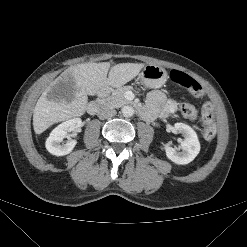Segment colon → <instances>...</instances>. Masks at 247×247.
<instances>
[{"mask_svg": "<svg viewBox=\"0 0 247 247\" xmlns=\"http://www.w3.org/2000/svg\"><path fill=\"white\" fill-rule=\"evenodd\" d=\"M170 78L176 84L184 87L194 98L203 97V89L201 85L192 77L179 70H172ZM182 116L187 120H195L198 116L197 109L188 103L182 104L180 107ZM202 133L205 139L212 140L216 135V126L214 123V108L212 104L206 103L201 110Z\"/></svg>", "mask_w": 247, "mask_h": 247, "instance_id": "obj_1", "label": "colon"}]
</instances>
